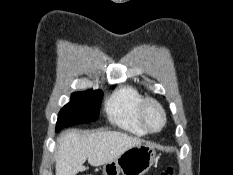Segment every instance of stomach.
Masks as SVG:
<instances>
[{
	"label": "stomach",
	"instance_id": "obj_1",
	"mask_svg": "<svg viewBox=\"0 0 233 175\" xmlns=\"http://www.w3.org/2000/svg\"><path fill=\"white\" fill-rule=\"evenodd\" d=\"M156 159L155 147L141 143L126 150L117 159L103 166L104 175H143L153 165Z\"/></svg>",
	"mask_w": 233,
	"mask_h": 175
}]
</instances>
